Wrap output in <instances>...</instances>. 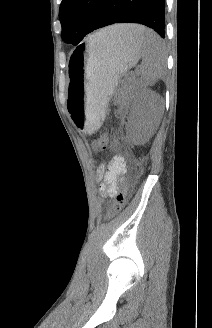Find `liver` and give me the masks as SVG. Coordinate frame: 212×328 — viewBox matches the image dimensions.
<instances>
[{"label": "liver", "instance_id": "liver-1", "mask_svg": "<svg viewBox=\"0 0 212 328\" xmlns=\"http://www.w3.org/2000/svg\"><path fill=\"white\" fill-rule=\"evenodd\" d=\"M136 25H113L102 29L92 35L98 41H108V40H124L129 41L135 38L134 28Z\"/></svg>", "mask_w": 212, "mask_h": 328}]
</instances>
